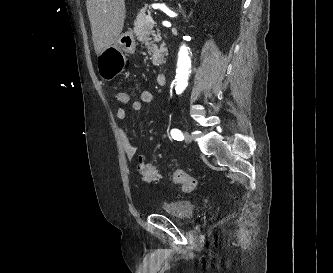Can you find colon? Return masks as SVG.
Listing matches in <instances>:
<instances>
[{
	"mask_svg": "<svg viewBox=\"0 0 333 273\" xmlns=\"http://www.w3.org/2000/svg\"><path fill=\"white\" fill-rule=\"evenodd\" d=\"M115 100L121 104H127L130 101V96L124 91H119L115 95ZM139 169L144 181L155 182L158 180L159 172L156 168L141 162ZM169 182L178 184L180 189L185 193L192 192L197 186V180L181 170L174 171L169 178Z\"/></svg>",
	"mask_w": 333,
	"mask_h": 273,
	"instance_id": "5ec220e1",
	"label": "colon"
}]
</instances>
